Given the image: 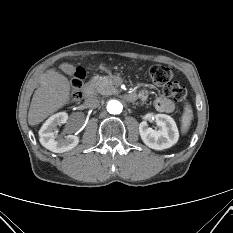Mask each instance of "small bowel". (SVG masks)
<instances>
[{
    "mask_svg": "<svg viewBox=\"0 0 233 233\" xmlns=\"http://www.w3.org/2000/svg\"><path fill=\"white\" fill-rule=\"evenodd\" d=\"M139 97L141 100H146L148 97V94L146 91H141L139 93ZM155 108L160 111V112H164V113H172L175 110V104L174 102L166 97V96H159L155 99L154 102Z\"/></svg>",
    "mask_w": 233,
    "mask_h": 233,
    "instance_id": "obj_1",
    "label": "small bowel"
}]
</instances>
